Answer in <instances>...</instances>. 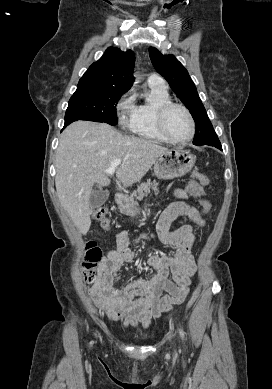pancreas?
Listing matches in <instances>:
<instances>
[{"instance_id":"obj_1","label":"pancreas","mask_w":272,"mask_h":389,"mask_svg":"<svg viewBox=\"0 0 272 389\" xmlns=\"http://www.w3.org/2000/svg\"><path fill=\"white\" fill-rule=\"evenodd\" d=\"M158 184L154 182L147 181L146 183H142L137 188V194L138 195H131L129 197L130 200H134V197L138 200L143 199V197L147 196L148 193H150V189H153L154 191L157 190Z\"/></svg>"}]
</instances>
